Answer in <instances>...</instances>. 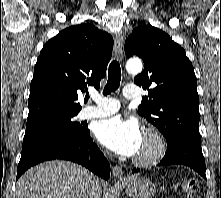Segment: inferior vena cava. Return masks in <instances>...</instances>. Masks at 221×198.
<instances>
[{
    "mask_svg": "<svg viewBox=\"0 0 221 198\" xmlns=\"http://www.w3.org/2000/svg\"><path fill=\"white\" fill-rule=\"evenodd\" d=\"M100 190L99 180L91 175L87 184V193L89 198H97Z\"/></svg>",
    "mask_w": 221,
    "mask_h": 198,
    "instance_id": "obj_1",
    "label": "inferior vena cava"
}]
</instances>
